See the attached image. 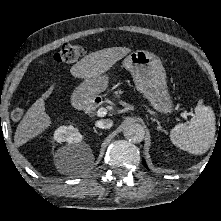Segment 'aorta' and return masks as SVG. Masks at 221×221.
I'll return each instance as SVG.
<instances>
[{"mask_svg":"<svg viewBox=\"0 0 221 221\" xmlns=\"http://www.w3.org/2000/svg\"><path fill=\"white\" fill-rule=\"evenodd\" d=\"M123 133L126 139L139 143L144 139L145 130L141 124L129 122L125 124Z\"/></svg>","mask_w":221,"mask_h":221,"instance_id":"762f6f07","label":"aorta"}]
</instances>
